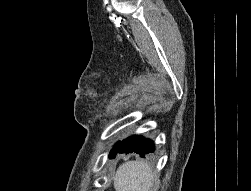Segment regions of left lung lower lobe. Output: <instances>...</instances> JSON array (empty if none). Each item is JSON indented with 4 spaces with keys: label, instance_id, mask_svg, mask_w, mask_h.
Listing matches in <instances>:
<instances>
[{
    "label": "left lung lower lobe",
    "instance_id": "1",
    "mask_svg": "<svg viewBox=\"0 0 251 191\" xmlns=\"http://www.w3.org/2000/svg\"><path fill=\"white\" fill-rule=\"evenodd\" d=\"M154 151L155 147L152 140L134 135L122 142L118 141L109 157L114 158L117 153H137L144 157L145 154L153 153Z\"/></svg>",
    "mask_w": 251,
    "mask_h": 191
}]
</instances>
